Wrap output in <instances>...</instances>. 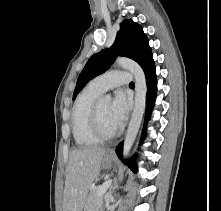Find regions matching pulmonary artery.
I'll return each mask as SVG.
<instances>
[{
    "label": "pulmonary artery",
    "mask_w": 221,
    "mask_h": 211,
    "mask_svg": "<svg viewBox=\"0 0 221 211\" xmlns=\"http://www.w3.org/2000/svg\"><path fill=\"white\" fill-rule=\"evenodd\" d=\"M132 79L129 72L112 70L91 80L90 84L102 93L114 87L128 84Z\"/></svg>",
    "instance_id": "e3ab8cb5"
}]
</instances>
